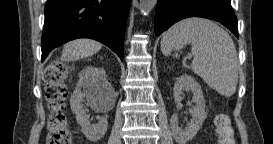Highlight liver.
I'll return each instance as SVG.
<instances>
[{
    "label": "liver",
    "mask_w": 273,
    "mask_h": 144,
    "mask_svg": "<svg viewBox=\"0 0 273 144\" xmlns=\"http://www.w3.org/2000/svg\"><path fill=\"white\" fill-rule=\"evenodd\" d=\"M102 44L92 39H76L64 45L62 61H76L97 53Z\"/></svg>",
    "instance_id": "liver-1"
}]
</instances>
